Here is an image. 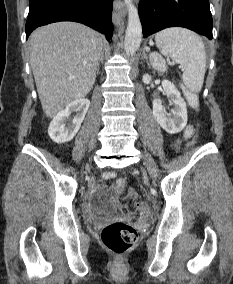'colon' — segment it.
<instances>
[{"mask_svg":"<svg viewBox=\"0 0 233 284\" xmlns=\"http://www.w3.org/2000/svg\"><path fill=\"white\" fill-rule=\"evenodd\" d=\"M150 62L152 66L158 71H165L167 64L165 59L159 54H151ZM190 106L194 109L199 107L198 95L182 88ZM184 137L187 141H193L195 132L192 127H188L184 132ZM104 179L108 181H115V186L119 192L126 189V181L124 178L118 177L115 172L109 171L104 174ZM136 210L141 218H146L149 215V206L145 202H138ZM138 233L135 227L121 221H115L105 225L101 230V241L106 249L111 251L117 258H122L136 243Z\"/></svg>","mask_w":233,"mask_h":284,"instance_id":"obj_1","label":"colon"}]
</instances>
